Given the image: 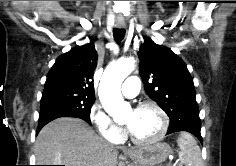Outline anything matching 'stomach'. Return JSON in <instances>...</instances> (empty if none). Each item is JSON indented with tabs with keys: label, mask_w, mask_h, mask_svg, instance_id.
Returning a JSON list of instances; mask_svg holds the SVG:
<instances>
[{
	"label": "stomach",
	"mask_w": 236,
	"mask_h": 166,
	"mask_svg": "<svg viewBox=\"0 0 236 166\" xmlns=\"http://www.w3.org/2000/svg\"><path fill=\"white\" fill-rule=\"evenodd\" d=\"M171 153L167 143H156L130 153V157L136 166H162Z\"/></svg>",
	"instance_id": "stomach-1"
}]
</instances>
